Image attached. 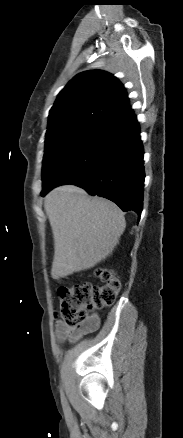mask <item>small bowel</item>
Returning <instances> with one entry per match:
<instances>
[{"instance_id":"c3829d8e","label":"small bowel","mask_w":183,"mask_h":438,"mask_svg":"<svg viewBox=\"0 0 183 438\" xmlns=\"http://www.w3.org/2000/svg\"><path fill=\"white\" fill-rule=\"evenodd\" d=\"M100 323V318L97 314H93L88 317L87 321L80 327H70L64 324L62 321L56 323V334L58 338L70 340H77L85 333L95 330Z\"/></svg>"}]
</instances>
